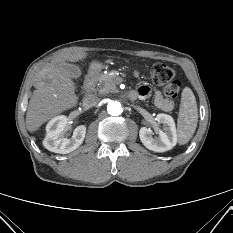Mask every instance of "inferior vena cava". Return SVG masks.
<instances>
[{
  "label": "inferior vena cava",
  "instance_id": "inferior-vena-cava-1",
  "mask_svg": "<svg viewBox=\"0 0 233 233\" xmlns=\"http://www.w3.org/2000/svg\"><path fill=\"white\" fill-rule=\"evenodd\" d=\"M100 99L95 94H88L84 97L83 103L86 107H94L99 103Z\"/></svg>",
  "mask_w": 233,
  "mask_h": 233
}]
</instances>
